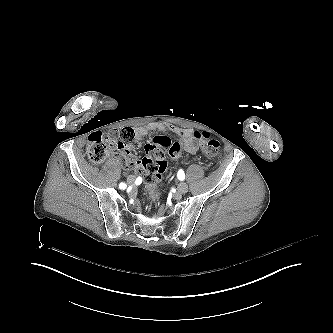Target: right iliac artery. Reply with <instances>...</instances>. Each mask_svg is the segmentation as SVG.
Returning a JSON list of instances; mask_svg holds the SVG:
<instances>
[{"label":"right iliac artery","mask_w":333,"mask_h":333,"mask_svg":"<svg viewBox=\"0 0 333 333\" xmlns=\"http://www.w3.org/2000/svg\"><path fill=\"white\" fill-rule=\"evenodd\" d=\"M126 187H127V186H126L125 183H120V184H119V188H120V189H123V190H124Z\"/></svg>","instance_id":"1"}]
</instances>
